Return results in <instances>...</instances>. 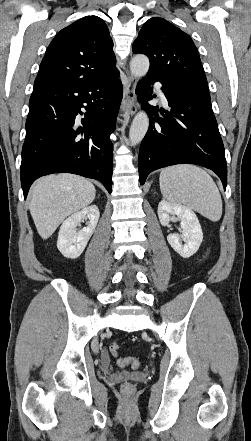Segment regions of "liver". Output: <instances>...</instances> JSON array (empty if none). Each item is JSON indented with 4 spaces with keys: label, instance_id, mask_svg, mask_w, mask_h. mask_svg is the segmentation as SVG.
<instances>
[{
    "label": "liver",
    "instance_id": "obj_1",
    "mask_svg": "<svg viewBox=\"0 0 251 441\" xmlns=\"http://www.w3.org/2000/svg\"><path fill=\"white\" fill-rule=\"evenodd\" d=\"M96 196L94 185L73 174L48 175L31 187L29 210L38 234L48 239L69 215L85 208Z\"/></svg>",
    "mask_w": 251,
    "mask_h": 441
}]
</instances>
